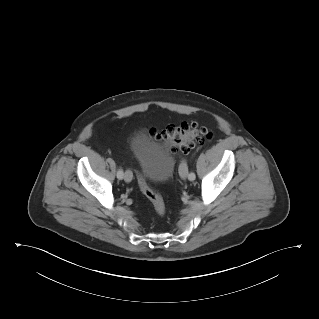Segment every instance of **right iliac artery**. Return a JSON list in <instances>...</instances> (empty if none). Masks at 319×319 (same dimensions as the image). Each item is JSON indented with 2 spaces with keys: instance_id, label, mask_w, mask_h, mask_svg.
Wrapping results in <instances>:
<instances>
[{
  "instance_id": "right-iliac-artery-1",
  "label": "right iliac artery",
  "mask_w": 319,
  "mask_h": 319,
  "mask_svg": "<svg viewBox=\"0 0 319 319\" xmlns=\"http://www.w3.org/2000/svg\"><path fill=\"white\" fill-rule=\"evenodd\" d=\"M123 175H124L123 170L120 168L117 172V178L121 180L123 179Z\"/></svg>"
}]
</instances>
